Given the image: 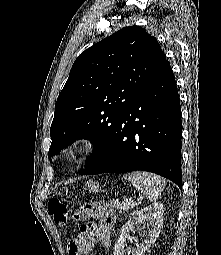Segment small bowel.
<instances>
[{"label": "small bowel", "mask_w": 221, "mask_h": 255, "mask_svg": "<svg viewBox=\"0 0 221 255\" xmlns=\"http://www.w3.org/2000/svg\"><path fill=\"white\" fill-rule=\"evenodd\" d=\"M91 217L96 222L84 224L77 236L69 242V255H90L96 244L110 248L111 230L115 223V214L106 203L91 204Z\"/></svg>", "instance_id": "1"}]
</instances>
